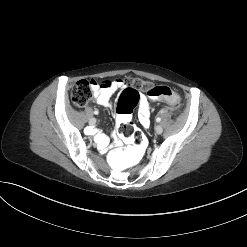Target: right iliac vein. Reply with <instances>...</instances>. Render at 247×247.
Masks as SVG:
<instances>
[{"label": "right iliac vein", "instance_id": "63e3f726", "mask_svg": "<svg viewBox=\"0 0 247 247\" xmlns=\"http://www.w3.org/2000/svg\"><path fill=\"white\" fill-rule=\"evenodd\" d=\"M89 124L90 125H95L96 124V119L95 118H91L90 120H89Z\"/></svg>", "mask_w": 247, "mask_h": 247}]
</instances>
